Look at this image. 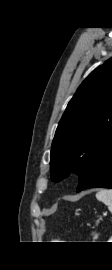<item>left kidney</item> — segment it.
Masks as SVG:
<instances>
[{"instance_id": "5707ae66", "label": "left kidney", "mask_w": 112, "mask_h": 270, "mask_svg": "<svg viewBox=\"0 0 112 270\" xmlns=\"http://www.w3.org/2000/svg\"><path fill=\"white\" fill-rule=\"evenodd\" d=\"M109 242H112V237L110 238Z\"/></svg>"}]
</instances>
